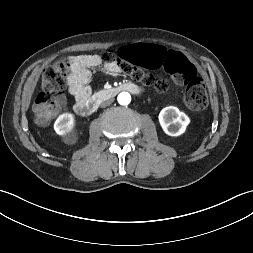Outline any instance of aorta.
Returning <instances> with one entry per match:
<instances>
[{
  "instance_id": "762f6f07",
  "label": "aorta",
  "mask_w": 253,
  "mask_h": 253,
  "mask_svg": "<svg viewBox=\"0 0 253 253\" xmlns=\"http://www.w3.org/2000/svg\"><path fill=\"white\" fill-rule=\"evenodd\" d=\"M117 99L120 105H128L131 102V95L128 92H122Z\"/></svg>"
}]
</instances>
